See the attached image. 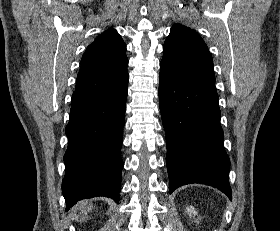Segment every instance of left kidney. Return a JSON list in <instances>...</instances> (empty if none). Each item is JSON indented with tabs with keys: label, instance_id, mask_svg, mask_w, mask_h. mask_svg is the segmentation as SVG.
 Instances as JSON below:
<instances>
[{
	"label": "left kidney",
	"instance_id": "obj_1",
	"mask_svg": "<svg viewBox=\"0 0 280 231\" xmlns=\"http://www.w3.org/2000/svg\"><path fill=\"white\" fill-rule=\"evenodd\" d=\"M186 211H187L188 215H190V217H196V215H197V211H196L195 207H193V205H187ZM198 219H200V217H198Z\"/></svg>",
	"mask_w": 280,
	"mask_h": 231
}]
</instances>
